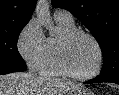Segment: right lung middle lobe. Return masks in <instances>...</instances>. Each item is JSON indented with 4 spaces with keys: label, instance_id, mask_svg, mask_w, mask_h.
I'll use <instances>...</instances> for the list:
<instances>
[{
    "label": "right lung middle lobe",
    "instance_id": "right-lung-middle-lobe-1",
    "mask_svg": "<svg viewBox=\"0 0 119 95\" xmlns=\"http://www.w3.org/2000/svg\"><path fill=\"white\" fill-rule=\"evenodd\" d=\"M27 23L0 27V66L26 69V64L17 49L20 32Z\"/></svg>",
    "mask_w": 119,
    "mask_h": 95
}]
</instances>
